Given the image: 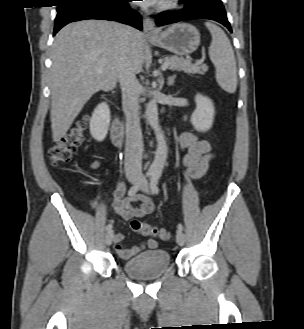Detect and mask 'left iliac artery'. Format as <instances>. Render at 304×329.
Segmentation results:
<instances>
[{
  "label": "left iliac artery",
  "mask_w": 304,
  "mask_h": 329,
  "mask_svg": "<svg viewBox=\"0 0 304 329\" xmlns=\"http://www.w3.org/2000/svg\"><path fill=\"white\" fill-rule=\"evenodd\" d=\"M160 176H161V173L160 172H154L152 175H151V179H150V187H151V190L154 194H158L159 193V187H158V183H159V180H160ZM177 228L178 230H183V225L182 224H178L177 225Z\"/></svg>",
  "instance_id": "left-iliac-artery-1"
}]
</instances>
